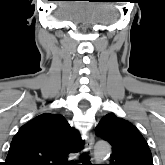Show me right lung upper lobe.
<instances>
[{"label": "right lung upper lobe", "mask_w": 165, "mask_h": 165, "mask_svg": "<svg viewBox=\"0 0 165 165\" xmlns=\"http://www.w3.org/2000/svg\"><path fill=\"white\" fill-rule=\"evenodd\" d=\"M84 141L75 128L58 114H41L14 136L4 165H65L70 153Z\"/></svg>", "instance_id": "cb5924a9"}]
</instances>
